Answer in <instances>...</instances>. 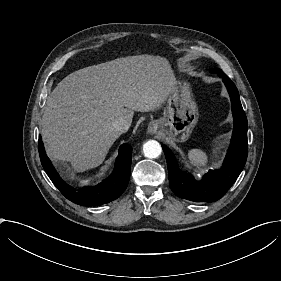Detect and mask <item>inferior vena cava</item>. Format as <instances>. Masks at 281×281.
<instances>
[{
    "label": "inferior vena cava",
    "mask_w": 281,
    "mask_h": 281,
    "mask_svg": "<svg viewBox=\"0 0 281 281\" xmlns=\"http://www.w3.org/2000/svg\"><path fill=\"white\" fill-rule=\"evenodd\" d=\"M130 125L131 124L124 119H119L113 124L114 128L121 133H125L126 131H128L130 128Z\"/></svg>",
    "instance_id": "obj_1"
}]
</instances>
